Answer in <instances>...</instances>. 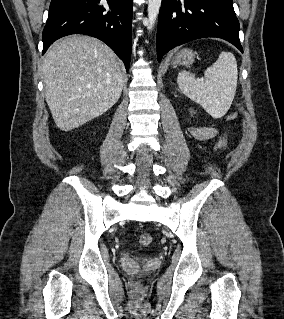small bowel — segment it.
Returning <instances> with one entry per match:
<instances>
[{
    "label": "small bowel",
    "mask_w": 284,
    "mask_h": 319,
    "mask_svg": "<svg viewBox=\"0 0 284 319\" xmlns=\"http://www.w3.org/2000/svg\"><path fill=\"white\" fill-rule=\"evenodd\" d=\"M190 134L199 141H206L214 138L217 135V130L212 127H192Z\"/></svg>",
    "instance_id": "1"
}]
</instances>
